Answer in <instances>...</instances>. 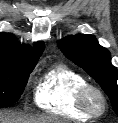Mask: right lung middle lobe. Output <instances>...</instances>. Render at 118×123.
Returning <instances> with one entry per match:
<instances>
[{
  "label": "right lung middle lobe",
  "instance_id": "right-lung-middle-lobe-1",
  "mask_svg": "<svg viewBox=\"0 0 118 123\" xmlns=\"http://www.w3.org/2000/svg\"><path fill=\"white\" fill-rule=\"evenodd\" d=\"M32 68L0 61V105L15 103L22 95Z\"/></svg>",
  "mask_w": 118,
  "mask_h": 123
}]
</instances>
